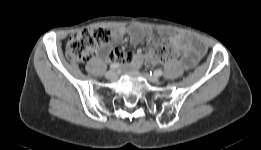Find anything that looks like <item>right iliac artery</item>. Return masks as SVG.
<instances>
[{
    "label": "right iliac artery",
    "instance_id": "82829eb1",
    "mask_svg": "<svg viewBox=\"0 0 261 150\" xmlns=\"http://www.w3.org/2000/svg\"><path fill=\"white\" fill-rule=\"evenodd\" d=\"M119 67V64L117 63H113L110 65V69L114 70V69H117Z\"/></svg>",
    "mask_w": 261,
    "mask_h": 150
}]
</instances>
